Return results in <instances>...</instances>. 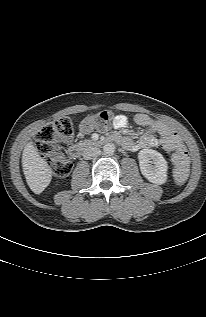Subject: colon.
<instances>
[{
	"mask_svg": "<svg viewBox=\"0 0 206 317\" xmlns=\"http://www.w3.org/2000/svg\"><path fill=\"white\" fill-rule=\"evenodd\" d=\"M115 117L114 113L109 110L96 112L84 118L81 128L85 132L104 131L113 123ZM73 135L72 120L66 116L42 127L36 134L38 150L43 154L56 177L67 176L72 168L71 161L60 149V146L70 143ZM162 146L173 152L175 181L178 183L184 182L188 177L190 165V157L186 147L176 134L165 137L162 140Z\"/></svg>",
	"mask_w": 206,
	"mask_h": 317,
	"instance_id": "colon-1",
	"label": "colon"
}]
</instances>
